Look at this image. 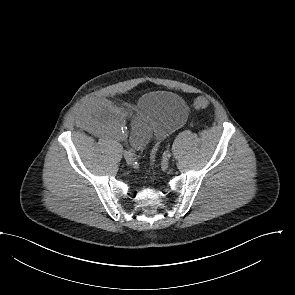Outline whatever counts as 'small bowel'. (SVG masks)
Segmentation results:
<instances>
[{
    "label": "small bowel",
    "instance_id": "c3829d8e",
    "mask_svg": "<svg viewBox=\"0 0 295 295\" xmlns=\"http://www.w3.org/2000/svg\"><path fill=\"white\" fill-rule=\"evenodd\" d=\"M124 113L117 109L112 103L105 99L91 101L82 114V120L96 130L111 134L115 126L119 125ZM152 129L147 119L134 113L131 117L130 143L134 149H142L150 140Z\"/></svg>",
    "mask_w": 295,
    "mask_h": 295
}]
</instances>
